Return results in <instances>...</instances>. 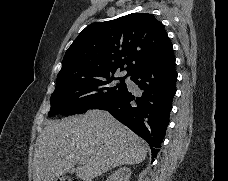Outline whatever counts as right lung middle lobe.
<instances>
[{"instance_id": "obj_1", "label": "right lung middle lobe", "mask_w": 228, "mask_h": 181, "mask_svg": "<svg viewBox=\"0 0 228 181\" xmlns=\"http://www.w3.org/2000/svg\"><path fill=\"white\" fill-rule=\"evenodd\" d=\"M125 78L106 75L56 86L50 99L51 110L48 115H74L85 113L89 109H103L126 92ZM113 80H120V83L113 85Z\"/></svg>"}]
</instances>
